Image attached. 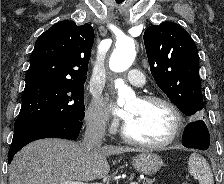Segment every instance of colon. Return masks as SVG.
<instances>
[{"instance_id": "5ec220e1", "label": "colon", "mask_w": 224, "mask_h": 184, "mask_svg": "<svg viewBox=\"0 0 224 184\" xmlns=\"http://www.w3.org/2000/svg\"><path fill=\"white\" fill-rule=\"evenodd\" d=\"M182 184H189V183H187V182H184V183H182Z\"/></svg>"}]
</instances>
